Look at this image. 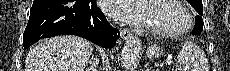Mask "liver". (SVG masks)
<instances>
[{
    "label": "liver",
    "instance_id": "obj_1",
    "mask_svg": "<svg viewBox=\"0 0 230 71\" xmlns=\"http://www.w3.org/2000/svg\"><path fill=\"white\" fill-rule=\"evenodd\" d=\"M93 48L77 36H57L30 49L24 71H84Z\"/></svg>",
    "mask_w": 230,
    "mask_h": 71
}]
</instances>
